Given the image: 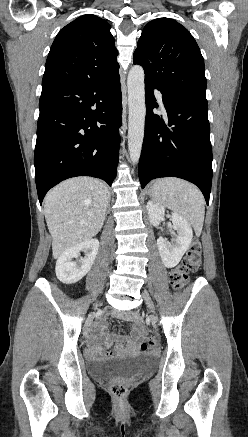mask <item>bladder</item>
Returning <instances> with one entry per match:
<instances>
[{"label": "bladder", "mask_w": 248, "mask_h": 437, "mask_svg": "<svg viewBox=\"0 0 248 437\" xmlns=\"http://www.w3.org/2000/svg\"><path fill=\"white\" fill-rule=\"evenodd\" d=\"M154 362L153 355L139 354L94 362L90 365L89 371L97 379H130L150 370Z\"/></svg>", "instance_id": "31cf9c89"}]
</instances>
